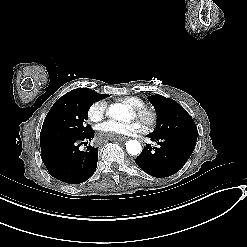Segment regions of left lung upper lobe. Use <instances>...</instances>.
<instances>
[{"label": "left lung upper lobe", "instance_id": "1", "mask_svg": "<svg viewBox=\"0 0 247 247\" xmlns=\"http://www.w3.org/2000/svg\"><path fill=\"white\" fill-rule=\"evenodd\" d=\"M157 113L154 137L186 138L197 141V128L188 112L176 101L156 94L148 97Z\"/></svg>", "mask_w": 247, "mask_h": 247}]
</instances>
